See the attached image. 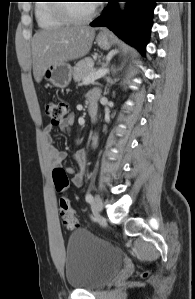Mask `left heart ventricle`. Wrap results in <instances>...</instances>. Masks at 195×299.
Returning <instances> with one entry per match:
<instances>
[{
    "label": "left heart ventricle",
    "mask_w": 195,
    "mask_h": 299,
    "mask_svg": "<svg viewBox=\"0 0 195 299\" xmlns=\"http://www.w3.org/2000/svg\"><path fill=\"white\" fill-rule=\"evenodd\" d=\"M92 6L91 2H73L70 3V10L75 15L84 16L91 11Z\"/></svg>",
    "instance_id": "left-heart-ventricle-1"
}]
</instances>
